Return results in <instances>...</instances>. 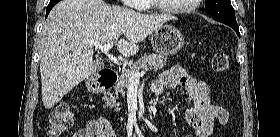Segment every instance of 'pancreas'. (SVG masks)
Listing matches in <instances>:
<instances>
[{
	"instance_id": "cf45deb5",
	"label": "pancreas",
	"mask_w": 280,
	"mask_h": 137,
	"mask_svg": "<svg viewBox=\"0 0 280 137\" xmlns=\"http://www.w3.org/2000/svg\"><path fill=\"white\" fill-rule=\"evenodd\" d=\"M167 61L166 56L151 54L148 56H143L136 63H134L129 70L123 71L114 85L115 93L107 92L103 100L105 101L104 107H115V109L119 110L118 94H121L123 97L125 96V89L129 86L130 79L129 75L131 72H139L140 70H153L158 71L162 69Z\"/></svg>"
}]
</instances>
